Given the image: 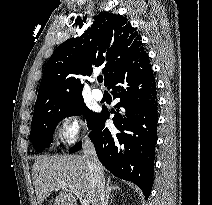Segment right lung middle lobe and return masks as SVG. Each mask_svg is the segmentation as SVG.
<instances>
[{
  "label": "right lung middle lobe",
  "instance_id": "dd1d6c3e",
  "mask_svg": "<svg viewBox=\"0 0 212 205\" xmlns=\"http://www.w3.org/2000/svg\"><path fill=\"white\" fill-rule=\"evenodd\" d=\"M87 119L89 128L96 120L99 113L90 111L84 104V100H79L68 105H46L34 110L30 140L33 147L38 152L49 147L52 142V135L56 124L66 116L81 115Z\"/></svg>",
  "mask_w": 212,
  "mask_h": 205
}]
</instances>
